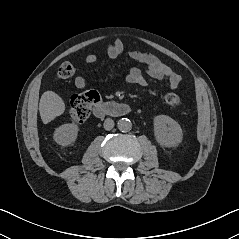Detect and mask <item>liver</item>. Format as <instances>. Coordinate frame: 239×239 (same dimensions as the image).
<instances>
[{"instance_id": "6515ba94", "label": "liver", "mask_w": 239, "mask_h": 239, "mask_svg": "<svg viewBox=\"0 0 239 239\" xmlns=\"http://www.w3.org/2000/svg\"><path fill=\"white\" fill-rule=\"evenodd\" d=\"M65 111L63 99L53 91H45L40 99L39 112L41 120L47 124Z\"/></svg>"}]
</instances>
